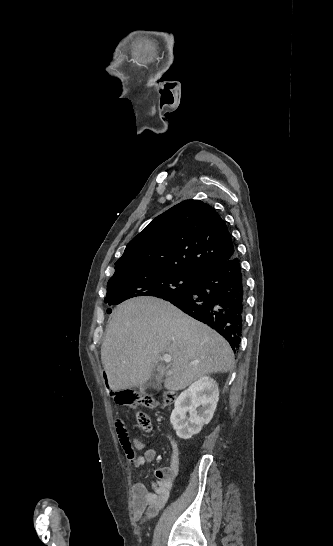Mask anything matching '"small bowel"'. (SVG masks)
<instances>
[{
  "label": "small bowel",
  "mask_w": 333,
  "mask_h": 546,
  "mask_svg": "<svg viewBox=\"0 0 333 546\" xmlns=\"http://www.w3.org/2000/svg\"><path fill=\"white\" fill-rule=\"evenodd\" d=\"M170 439L172 448L170 466L156 472L158 480L152 484L151 490H148L140 480L133 486V517L138 522H144L155 516L169 499L170 486L180 467V453L177 443L171 437ZM133 446L137 450H145L144 442L138 438L133 440ZM154 456V450H145L143 454L131 459V464L134 469L139 471L145 464L152 461Z\"/></svg>",
  "instance_id": "c3829d8e"
}]
</instances>
